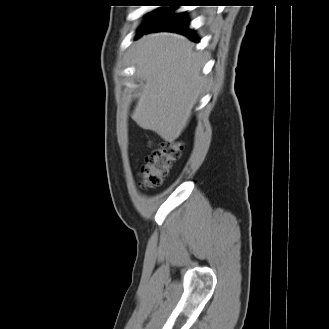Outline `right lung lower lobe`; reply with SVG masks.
<instances>
[{"label": "right lung lower lobe", "instance_id": "obj_1", "mask_svg": "<svg viewBox=\"0 0 329 329\" xmlns=\"http://www.w3.org/2000/svg\"><path fill=\"white\" fill-rule=\"evenodd\" d=\"M174 10H176V8H169L162 13L153 24L140 28L135 38L149 32L171 31L184 34L198 41L193 31L188 28L189 23L185 17V13H174Z\"/></svg>", "mask_w": 329, "mask_h": 329}]
</instances>
